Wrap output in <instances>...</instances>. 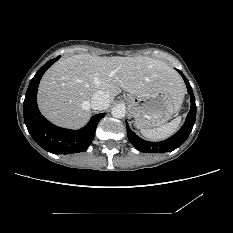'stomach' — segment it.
I'll list each match as a JSON object with an SVG mask.
<instances>
[{
    "label": "stomach",
    "instance_id": "1",
    "mask_svg": "<svg viewBox=\"0 0 233 233\" xmlns=\"http://www.w3.org/2000/svg\"><path fill=\"white\" fill-rule=\"evenodd\" d=\"M126 101L135 125L139 129H150L166 123L179 110L174 97L167 91H156L148 95H127Z\"/></svg>",
    "mask_w": 233,
    "mask_h": 233
}]
</instances>
